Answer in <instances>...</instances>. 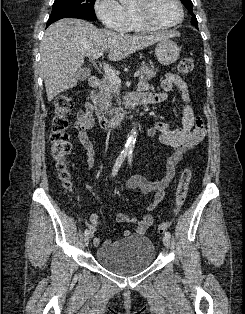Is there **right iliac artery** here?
I'll use <instances>...</instances> for the list:
<instances>
[{
  "label": "right iliac artery",
  "instance_id": "1",
  "mask_svg": "<svg viewBox=\"0 0 245 314\" xmlns=\"http://www.w3.org/2000/svg\"><path fill=\"white\" fill-rule=\"evenodd\" d=\"M126 156H127L126 153H121V154L118 156V158H117V160H116V162H115V164H114L112 173H111V176H112V177H114V176L117 174V172H118L119 168L121 167L122 163L124 162ZM84 235H85V236L89 235V230H88V229H86V230L84 231Z\"/></svg>",
  "mask_w": 245,
  "mask_h": 314
}]
</instances>
